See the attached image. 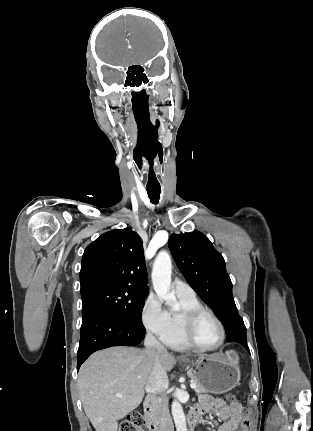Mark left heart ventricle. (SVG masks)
Returning a JSON list of instances; mask_svg holds the SVG:
<instances>
[{
    "label": "left heart ventricle",
    "mask_w": 313,
    "mask_h": 431,
    "mask_svg": "<svg viewBox=\"0 0 313 431\" xmlns=\"http://www.w3.org/2000/svg\"><path fill=\"white\" fill-rule=\"evenodd\" d=\"M194 338L202 346H214L220 340L219 327L210 316L204 315L199 319L195 327Z\"/></svg>",
    "instance_id": "b2bd125f"
}]
</instances>
